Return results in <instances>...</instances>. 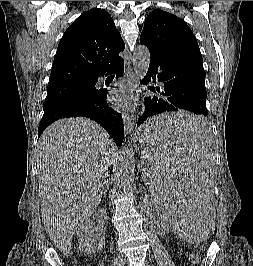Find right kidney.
<instances>
[{
  "mask_svg": "<svg viewBox=\"0 0 253 266\" xmlns=\"http://www.w3.org/2000/svg\"><path fill=\"white\" fill-rule=\"evenodd\" d=\"M96 227L94 220H85L77 230V238L79 243V249L87 255L95 254L101 250L104 244V235L96 234Z\"/></svg>",
  "mask_w": 253,
  "mask_h": 266,
  "instance_id": "obj_1",
  "label": "right kidney"
}]
</instances>
